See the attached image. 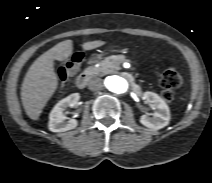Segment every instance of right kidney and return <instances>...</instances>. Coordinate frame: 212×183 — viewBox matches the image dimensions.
I'll return each mask as SVG.
<instances>
[{"mask_svg": "<svg viewBox=\"0 0 212 183\" xmlns=\"http://www.w3.org/2000/svg\"><path fill=\"white\" fill-rule=\"evenodd\" d=\"M80 95L73 93L66 98L60 100L49 114L48 128L52 132H65L74 129L78 122L76 119H68L66 121L65 110L68 107H75L78 105Z\"/></svg>", "mask_w": 212, "mask_h": 183, "instance_id": "obj_1", "label": "right kidney"}]
</instances>
